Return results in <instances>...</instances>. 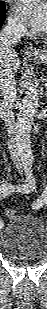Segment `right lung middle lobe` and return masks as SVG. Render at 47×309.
Wrapping results in <instances>:
<instances>
[{
  "mask_svg": "<svg viewBox=\"0 0 47 309\" xmlns=\"http://www.w3.org/2000/svg\"><path fill=\"white\" fill-rule=\"evenodd\" d=\"M5 12V5L3 2H0V14Z\"/></svg>",
  "mask_w": 47,
  "mask_h": 309,
  "instance_id": "right-lung-middle-lobe-1",
  "label": "right lung middle lobe"
}]
</instances>
